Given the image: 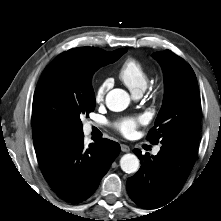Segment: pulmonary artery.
I'll return each mask as SVG.
<instances>
[{
    "label": "pulmonary artery",
    "mask_w": 221,
    "mask_h": 221,
    "mask_svg": "<svg viewBox=\"0 0 221 221\" xmlns=\"http://www.w3.org/2000/svg\"><path fill=\"white\" fill-rule=\"evenodd\" d=\"M135 98H140L142 96V92H137L135 94H133ZM95 126L93 123H88L86 125V131H90L92 129V127ZM160 151V146L155 147V149L153 150L154 154H157Z\"/></svg>",
    "instance_id": "1"
}]
</instances>
